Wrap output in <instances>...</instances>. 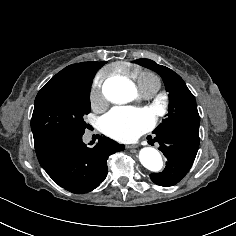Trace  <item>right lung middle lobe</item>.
<instances>
[{"label": "right lung middle lobe", "instance_id": "right-lung-middle-lobe-1", "mask_svg": "<svg viewBox=\"0 0 236 236\" xmlns=\"http://www.w3.org/2000/svg\"><path fill=\"white\" fill-rule=\"evenodd\" d=\"M91 84L47 83L35 98L31 119L34 139L53 133L83 134L88 127L83 116L91 111Z\"/></svg>", "mask_w": 236, "mask_h": 236}]
</instances>
